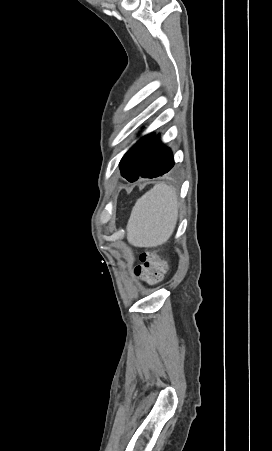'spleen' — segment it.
<instances>
[{"instance_id": "3e777b00", "label": "spleen", "mask_w": 272, "mask_h": 451, "mask_svg": "<svg viewBox=\"0 0 272 451\" xmlns=\"http://www.w3.org/2000/svg\"><path fill=\"white\" fill-rule=\"evenodd\" d=\"M178 220V200L172 186L156 184L137 200L127 224V239L136 247H156L169 239Z\"/></svg>"}]
</instances>
